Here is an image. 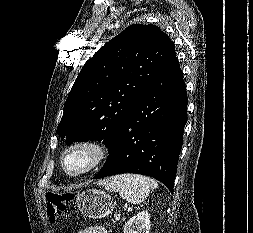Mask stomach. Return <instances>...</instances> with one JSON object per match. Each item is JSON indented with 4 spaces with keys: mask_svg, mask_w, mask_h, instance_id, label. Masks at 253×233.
Segmentation results:
<instances>
[{
    "mask_svg": "<svg viewBox=\"0 0 253 233\" xmlns=\"http://www.w3.org/2000/svg\"><path fill=\"white\" fill-rule=\"evenodd\" d=\"M115 202L109 194L99 189H88L77 195L80 212L92 219H101L113 211Z\"/></svg>",
    "mask_w": 253,
    "mask_h": 233,
    "instance_id": "1",
    "label": "stomach"
}]
</instances>
